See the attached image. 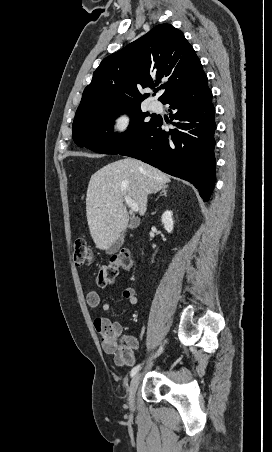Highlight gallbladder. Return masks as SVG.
I'll use <instances>...</instances> for the list:
<instances>
[{
	"mask_svg": "<svg viewBox=\"0 0 272 452\" xmlns=\"http://www.w3.org/2000/svg\"><path fill=\"white\" fill-rule=\"evenodd\" d=\"M136 225H137V223L134 221V220H132L131 222H130V224H129V227L130 228H135L136 227ZM124 233L125 232H123L122 233V236H120L107 250H106V252L108 253V254H113V253H115V252H117L118 250H119V248L123 245V243H124Z\"/></svg>",
	"mask_w": 272,
	"mask_h": 452,
	"instance_id": "bac80fb5",
	"label": "gallbladder"
}]
</instances>
